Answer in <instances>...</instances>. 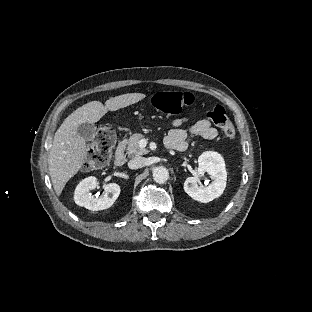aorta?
Here are the masks:
<instances>
[{"instance_id": "1", "label": "aorta", "mask_w": 312, "mask_h": 312, "mask_svg": "<svg viewBox=\"0 0 312 312\" xmlns=\"http://www.w3.org/2000/svg\"><path fill=\"white\" fill-rule=\"evenodd\" d=\"M168 178H169V172L165 167L159 166V167L154 168L153 179L155 182L159 184H163L168 180Z\"/></svg>"}]
</instances>
